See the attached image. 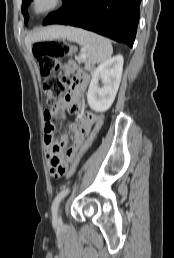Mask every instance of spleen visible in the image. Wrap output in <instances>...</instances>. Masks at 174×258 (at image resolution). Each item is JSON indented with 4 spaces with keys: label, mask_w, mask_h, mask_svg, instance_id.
<instances>
[{
    "label": "spleen",
    "mask_w": 174,
    "mask_h": 258,
    "mask_svg": "<svg viewBox=\"0 0 174 258\" xmlns=\"http://www.w3.org/2000/svg\"><path fill=\"white\" fill-rule=\"evenodd\" d=\"M65 37L83 47L88 62L96 64L111 57L113 48L109 39L76 27H66Z\"/></svg>",
    "instance_id": "spleen-1"
}]
</instances>
